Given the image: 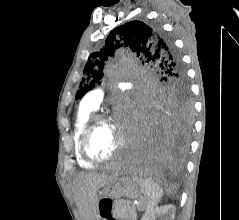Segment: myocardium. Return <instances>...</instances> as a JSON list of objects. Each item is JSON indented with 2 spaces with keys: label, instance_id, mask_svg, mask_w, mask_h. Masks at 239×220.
Masks as SVG:
<instances>
[{
  "label": "myocardium",
  "instance_id": "f54148a6",
  "mask_svg": "<svg viewBox=\"0 0 239 220\" xmlns=\"http://www.w3.org/2000/svg\"><path fill=\"white\" fill-rule=\"evenodd\" d=\"M99 123H113V119L108 115L100 113L91 115L87 123L85 124L80 136L81 153L83 157L91 163H104L114 159L117 154L122 150L125 144L124 137L121 134L118 144L112 153L105 157L94 156L89 149V140L92 131Z\"/></svg>",
  "mask_w": 239,
  "mask_h": 220
}]
</instances>
